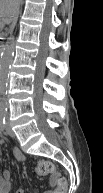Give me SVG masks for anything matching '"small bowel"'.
<instances>
[{"label":"small bowel","mask_w":103,"mask_h":193,"mask_svg":"<svg viewBox=\"0 0 103 193\" xmlns=\"http://www.w3.org/2000/svg\"><path fill=\"white\" fill-rule=\"evenodd\" d=\"M16 155L19 159H22V156L19 152H16ZM11 178H12V173L9 170H5L2 173L1 179H0V193H10L12 189L11 185ZM51 184L53 187L44 193H62L60 188L54 186V180L51 181ZM15 193H25V190L19 189L15 191Z\"/></svg>","instance_id":"1"}]
</instances>
